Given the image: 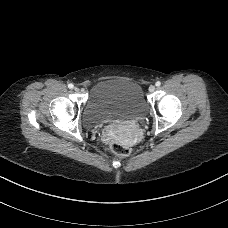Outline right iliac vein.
<instances>
[{
  "mask_svg": "<svg viewBox=\"0 0 228 228\" xmlns=\"http://www.w3.org/2000/svg\"><path fill=\"white\" fill-rule=\"evenodd\" d=\"M74 90H75V91H79V88H78V87H74Z\"/></svg>",
  "mask_w": 228,
  "mask_h": 228,
  "instance_id": "obj_1",
  "label": "right iliac vein"
}]
</instances>
